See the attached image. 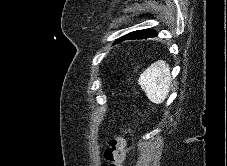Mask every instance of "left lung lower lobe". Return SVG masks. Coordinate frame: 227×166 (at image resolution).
<instances>
[{"instance_id": "left-lung-lower-lobe-1", "label": "left lung lower lobe", "mask_w": 227, "mask_h": 166, "mask_svg": "<svg viewBox=\"0 0 227 166\" xmlns=\"http://www.w3.org/2000/svg\"><path fill=\"white\" fill-rule=\"evenodd\" d=\"M157 35V33L153 30H138V31H134L131 32L123 37H121L117 42L122 41V40H133V39H146L151 38V37H155Z\"/></svg>"}]
</instances>
